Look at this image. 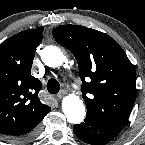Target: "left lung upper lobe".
<instances>
[{"label": "left lung upper lobe", "mask_w": 145, "mask_h": 145, "mask_svg": "<svg viewBox=\"0 0 145 145\" xmlns=\"http://www.w3.org/2000/svg\"><path fill=\"white\" fill-rule=\"evenodd\" d=\"M53 36L78 61L87 117L121 128L136 97V72L125 52L110 36L83 26H59Z\"/></svg>", "instance_id": "left-lung-upper-lobe-1"}]
</instances>
